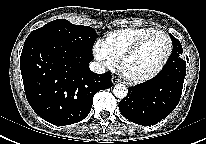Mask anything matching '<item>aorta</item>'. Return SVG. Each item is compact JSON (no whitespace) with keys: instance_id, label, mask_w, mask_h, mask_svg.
<instances>
[{"instance_id":"aorta-1","label":"aorta","mask_w":206,"mask_h":144,"mask_svg":"<svg viewBox=\"0 0 206 144\" xmlns=\"http://www.w3.org/2000/svg\"><path fill=\"white\" fill-rule=\"evenodd\" d=\"M127 93H128V89L126 88L125 85L117 84L114 86L113 94L115 95V97L119 99H123L127 96Z\"/></svg>"}]
</instances>
